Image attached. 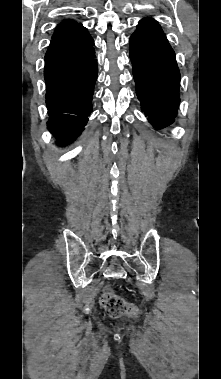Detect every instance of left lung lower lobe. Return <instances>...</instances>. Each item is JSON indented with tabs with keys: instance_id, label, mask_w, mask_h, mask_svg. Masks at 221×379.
I'll return each instance as SVG.
<instances>
[{
	"instance_id": "0a47b994",
	"label": "left lung lower lobe",
	"mask_w": 221,
	"mask_h": 379,
	"mask_svg": "<svg viewBox=\"0 0 221 379\" xmlns=\"http://www.w3.org/2000/svg\"><path fill=\"white\" fill-rule=\"evenodd\" d=\"M130 59L142 111L153 126H169L179 105L180 73L175 53L154 19H142L130 37Z\"/></svg>"
}]
</instances>
